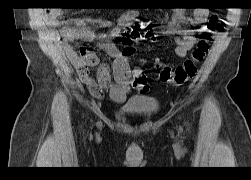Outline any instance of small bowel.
Here are the masks:
<instances>
[{
  "mask_svg": "<svg viewBox=\"0 0 251 180\" xmlns=\"http://www.w3.org/2000/svg\"><path fill=\"white\" fill-rule=\"evenodd\" d=\"M63 11L52 10L47 14V22L51 26L59 23ZM209 11L206 8H197L192 16H187L182 9H176L164 33L175 37V54L185 57L195 44V29L202 28L207 20ZM139 12L128 10L124 12L114 24L110 20L96 21L103 27L110 28L108 32L96 34L89 24L93 21L88 18H78L71 22L70 26L63 27L61 43L68 56L75 62L81 81L86 85L92 96L102 98L104 91H108L111 99L115 102H123L132 88L140 94H145L149 86L145 76L138 69L132 70L127 57H125L116 45L110 40L117 37L128 26L137 21ZM184 24H190L193 29L184 28ZM74 40L94 42L102 50L113 57L112 66L99 64L97 55L92 47H84L77 54L70 44ZM98 65L97 76H91L89 68Z\"/></svg>",
  "mask_w": 251,
  "mask_h": 180,
  "instance_id": "c3829d8e",
  "label": "small bowel"
}]
</instances>
